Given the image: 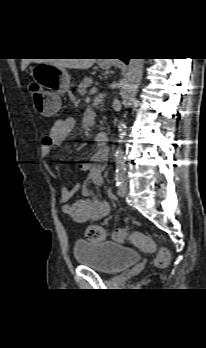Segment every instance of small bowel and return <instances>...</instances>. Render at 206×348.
Masks as SVG:
<instances>
[{
  "mask_svg": "<svg viewBox=\"0 0 206 348\" xmlns=\"http://www.w3.org/2000/svg\"><path fill=\"white\" fill-rule=\"evenodd\" d=\"M75 121L73 118H65L56 121L50 128L48 134L44 136L41 144V152L45 167L52 172L48 156L50 152L61 145L73 131ZM107 150L100 148L93 162L81 164V169L86 173L85 181L70 189L62 187L60 190V200L62 202V212L78 223L95 221L106 217L111 210V205L106 199L89 197V183L101 184L104 166L101 163L106 158ZM80 193L82 198L69 204V200Z\"/></svg>",
  "mask_w": 206,
  "mask_h": 348,
  "instance_id": "small-bowel-1",
  "label": "small bowel"
}]
</instances>
